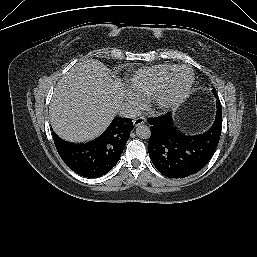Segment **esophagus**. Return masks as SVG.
<instances>
[{"label":"esophagus","mask_w":257,"mask_h":257,"mask_svg":"<svg viewBox=\"0 0 257 257\" xmlns=\"http://www.w3.org/2000/svg\"><path fill=\"white\" fill-rule=\"evenodd\" d=\"M144 123H145V117L144 116H139V117H137L133 120L134 126H139V125L144 124Z\"/></svg>","instance_id":"1"}]
</instances>
